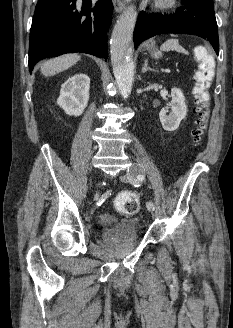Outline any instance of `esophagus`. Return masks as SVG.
Masks as SVG:
<instances>
[{
	"label": "esophagus",
	"instance_id": "esophagus-1",
	"mask_svg": "<svg viewBox=\"0 0 233 328\" xmlns=\"http://www.w3.org/2000/svg\"><path fill=\"white\" fill-rule=\"evenodd\" d=\"M116 12H121L125 9V2L123 0H112Z\"/></svg>",
	"mask_w": 233,
	"mask_h": 328
}]
</instances>
